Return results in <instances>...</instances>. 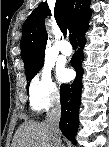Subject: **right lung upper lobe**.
I'll use <instances>...</instances> for the list:
<instances>
[{
    "mask_svg": "<svg viewBox=\"0 0 109 147\" xmlns=\"http://www.w3.org/2000/svg\"><path fill=\"white\" fill-rule=\"evenodd\" d=\"M90 0H56L54 15L62 32L68 27L76 35L88 24L92 10ZM50 15L47 3H41L22 27L21 54L25 69L38 65L44 58L47 32L44 18Z\"/></svg>",
    "mask_w": 109,
    "mask_h": 147,
    "instance_id": "cb5924a9",
    "label": "right lung upper lobe"
}]
</instances>
